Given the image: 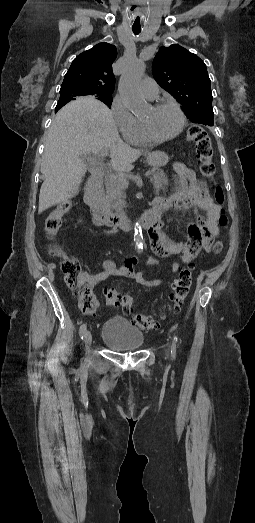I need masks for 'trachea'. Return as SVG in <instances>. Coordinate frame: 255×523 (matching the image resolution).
Masks as SVG:
<instances>
[{"instance_id": "obj_1", "label": "trachea", "mask_w": 255, "mask_h": 523, "mask_svg": "<svg viewBox=\"0 0 255 523\" xmlns=\"http://www.w3.org/2000/svg\"><path fill=\"white\" fill-rule=\"evenodd\" d=\"M132 31L135 35H139V33L141 32V28L132 27Z\"/></svg>"}]
</instances>
